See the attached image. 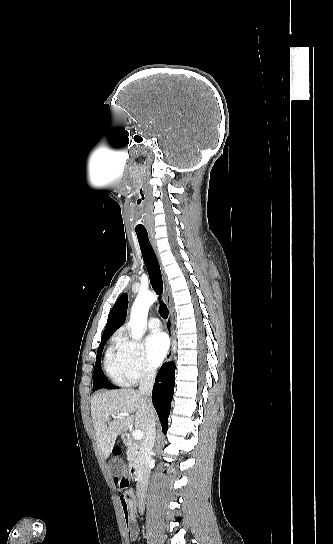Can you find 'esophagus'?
<instances>
[{"instance_id":"34e87169","label":"esophagus","mask_w":333,"mask_h":544,"mask_svg":"<svg viewBox=\"0 0 333 544\" xmlns=\"http://www.w3.org/2000/svg\"><path fill=\"white\" fill-rule=\"evenodd\" d=\"M150 241H151L152 247H153V249L155 251V254H156V256L158 258V261H159V264H160L161 274H162V278H163L164 296H165L166 303H167V306H168V311H169L168 318L166 319V328H167V331H168V333L170 335V339H171L170 350H169L167 358H166V360L169 362L172 359V357L174 356V353L176 351V339H175V335H174L173 320H172V316H173L172 295H171V290H170L168 280L166 278L165 272H164L163 267L161 265V260H160L159 252H158V249H157L156 241H155L153 236H150Z\"/></svg>"}]
</instances>
